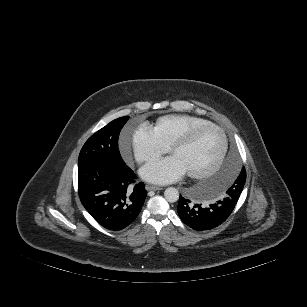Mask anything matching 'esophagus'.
Listing matches in <instances>:
<instances>
[{"mask_svg":"<svg viewBox=\"0 0 307 307\" xmlns=\"http://www.w3.org/2000/svg\"><path fill=\"white\" fill-rule=\"evenodd\" d=\"M146 189L147 190H154V191H156V190H162V188L161 187H159V186H154V185H146Z\"/></svg>","mask_w":307,"mask_h":307,"instance_id":"obj_1","label":"esophagus"}]
</instances>
